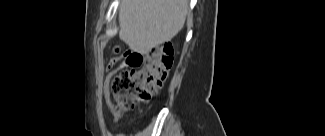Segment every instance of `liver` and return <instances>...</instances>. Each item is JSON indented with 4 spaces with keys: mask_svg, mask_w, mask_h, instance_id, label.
Instances as JSON below:
<instances>
[{
    "mask_svg": "<svg viewBox=\"0 0 325 136\" xmlns=\"http://www.w3.org/2000/svg\"><path fill=\"white\" fill-rule=\"evenodd\" d=\"M188 0H123L119 8V37L142 55L171 41L182 29Z\"/></svg>",
    "mask_w": 325,
    "mask_h": 136,
    "instance_id": "1",
    "label": "liver"
}]
</instances>
